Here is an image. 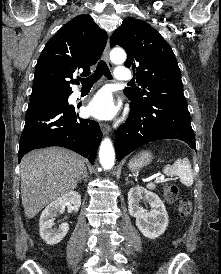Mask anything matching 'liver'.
Wrapping results in <instances>:
<instances>
[{
    "label": "liver",
    "instance_id": "liver-1",
    "mask_svg": "<svg viewBox=\"0 0 221 274\" xmlns=\"http://www.w3.org/2000/svg\"><path fill=\"white\" fill-rule=\"evenodd\" d=\"M84 169V158L64 148L50 147L26 154L20 163L26 217L32 219L46 205L71 192Z\"/></svg>",
    "mask_w": 221,
    "mask_h": 274
}]
</instances>
